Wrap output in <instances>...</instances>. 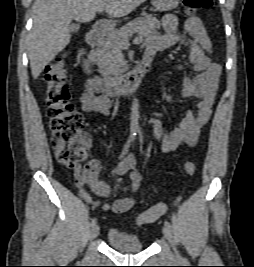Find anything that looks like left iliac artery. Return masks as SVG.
I'll use <instances>...</instances> for the list:
<instances>
[{
    "mask_svg": "<svg viewBox=\"0 0 254 267\" xmlns=\"http://www.w3.org/2000/svg\"><path fill=\"white\" fill-rule=\"evenodd\" d=\"M164 224H165V226H167L169 229H171L172 226H171V224H170L168 221H165Z\"/></svg>",
    "mask_w": 254,
    "mask_h": 267,
    "instance_id": "44dca946",
    "label": "left iliac artery"
}]
</instances>
